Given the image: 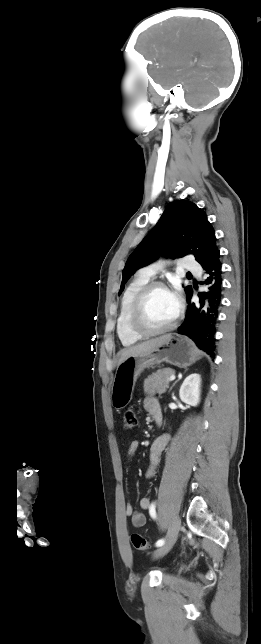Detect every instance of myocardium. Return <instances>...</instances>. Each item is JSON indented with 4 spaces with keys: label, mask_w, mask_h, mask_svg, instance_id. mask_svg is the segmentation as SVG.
Segmentation results:
<instances>
[{
    "label": "myocardium",
    "mask_w": 261,
    "mask_h": 644,
    "mask_svg": "<svg viewBox=\"0 0 261 644\" xmlns=\"http://www.w3.org/2000/svg\"><path fill=\"white\" fill-rule=\"evenodd\" d=\"M155 289H164L170 292L165 283L161 281H149L138 291L131 306L129 327L134 334L141 338L152 337L173 330L177 326L182 314V307H180L175 318L165 327L158 329L148 328L143 321L144 304L149 294Z\"/></svg>",
    "instance_id": "obj_1"
}]
</instances>
